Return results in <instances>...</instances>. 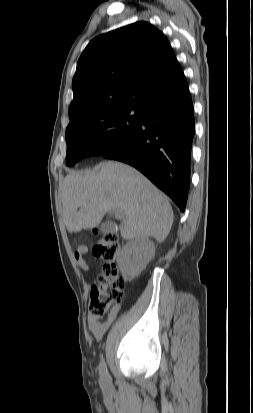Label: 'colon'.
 Instances as JSON below:
<instances>
[{"label": "colon", "mask_w": 253, "mask_h": 413, "mask_svg": "<svg viewBox=\"0 0 253 413\" xmlns=\"http://www.w3.org/2000/svg\"><path fill=\"white\" fill-rule=\"evenodd\" d=\"M119 250L118 237L114 233L103 234L93 247V254L102 261L97 284L90 290L89 314L94 317L104 316L111 306L124 298L125 284L116 266Z\"/></svg>", "instance_id": "5ec220e1"}]
</instances>
